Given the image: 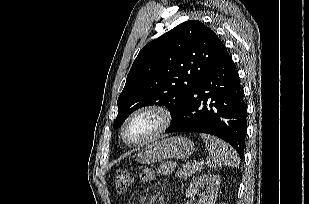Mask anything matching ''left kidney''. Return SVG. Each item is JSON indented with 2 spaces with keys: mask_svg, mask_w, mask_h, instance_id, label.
I'll use <instances>...</instances> for the list:
<instances>
[{
  "mask_svg": "<svg viewBox=\"0 0 309 204\" xmlns=\"http://www.w3.org/2000/svg\"><path fill=\"white\" fill-rule=\"evenodd\" d=\"M221 178L214 174H205L193 179L186 191V197L199 196L202 204H215ZM199 188H206V192L199 194Z\"/></svg>",
  "mask_w": 309,
  "mask_h": 204,
  "instance_id": "1",
  "label": "left kidney"
}]
</instances>
